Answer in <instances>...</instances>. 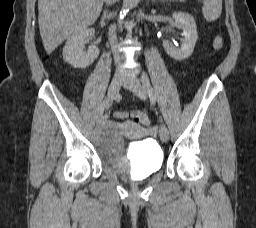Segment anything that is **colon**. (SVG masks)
<instances>
[{
    "instance_id": "colon-1",
    "label": "colon",
    "mask_w": 256,
    "mask_h": 228,
    "mask_svg": "<svg viewBox=\"0 0 256 228\" xmlns=\"http://www.w3.org/2000/svg\"><path fill=\"white\" fill-rule=\"evenodd\" d=\"M214 46L216 49H220L223 46V40L220 36L216 37L214 41ZM115 116L119 119H124L127 117H132L135 121L142 125H150V119L148 115L144 112H134V113H128L124 111H118L115 113Z\"/></svg>"
}]
</instances>
